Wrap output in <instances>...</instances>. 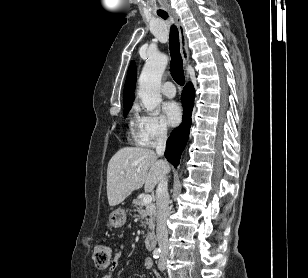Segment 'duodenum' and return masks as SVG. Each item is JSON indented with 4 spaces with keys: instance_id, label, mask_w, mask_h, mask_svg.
I'll list each match as a JSON object with an SVG mask.
<instances>
[{
    "instance_id": "1",
    "label": "duodenum",
    "mask_w": 308,
    "mask_h": 278,
    "mask_svg": "<svg viewBox=\"0 0 308 278\" xmlns=\"http://www.w3.org/2000/svg\"><path fill=\"white\" fill-rule=\"evenodd\" d=\"M145 243L148 249H153L157 243V235L155 232H151L146 236Z\"/></svg>"
}]
</instances>
